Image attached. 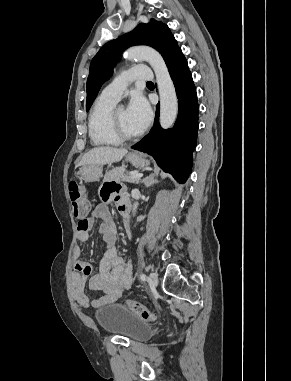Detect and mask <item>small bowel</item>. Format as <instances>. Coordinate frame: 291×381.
Returning a JSON list of instances; mask_svg holds the SVG:
<instances>
[{"label": "small bowel", "mask_w": 291, "mask_h": 381, "mask_svg": "<svg viewBox=\"0 0 291 381\" xmlns=\"http://www.w3.org/2000/svg\"><path fill=\"white\" fill-rule=\"evenodd\" d=\"M105 198L114 197L118 202V210L128 222L129 202L116 187H108L102 190ZM95 219H101L98 232L101 234L105 244V253L98 265V271L93 274V266L87 262L79 247L74 249V273L71 276L72 294L78 303L83 307L90 304L94 307H102L116 302L124 292L131 289L133 284L131 264L118 254L116 247V228L114 226L108 205L98 204L91 217L85 222L86 229H81L78 224L77 241L85 243L89 240V232L94 227ZM90 278L88 279V277ZM101 292L103 295L95 300H91L85 293V287Z\"/></svg>", "instance_id": "c3829d8e"}]
</instances>
